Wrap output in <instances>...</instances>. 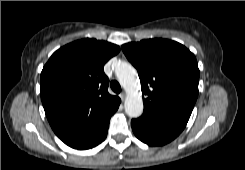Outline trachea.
I'll return each instance as SVG.
<instances>
[{
    "mask_svg": "<svg viewBox=\"0 0 245 170\" xmlns=\"http://www.w3.org/2000/svg\"><path fill=\"white\" fill-rule=\"evenodd\" d=\"M110 87H111L112 91L117 93V94L121 92V86L116 80H113L110 83Z\"/></svg>",
    "mask_w": 245,
    "mask_h": 170,
    "instance_id": "1",
    "label": "trachea"
}]
</instances>
